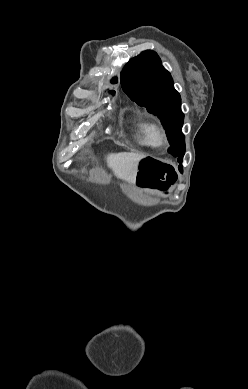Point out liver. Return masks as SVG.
<instances>
[{
  "instance_id": "1",
  "label": "liver",
  "mask_w": 248,
  "mask_h": 389,
  "mask_svg": "<svg viewBox=\"0 0 248 389\" xmlns=\"http://www.w3.org/2000/svg\"><path fill=\"white\" fill-rule=\"evenodd\" d=\"M145 157L139 153L120 152L107 155L106 161L115 176L128 182H134L138 172V163Z\"/></svg>"
}]
</instances>
